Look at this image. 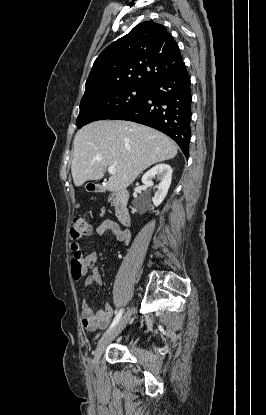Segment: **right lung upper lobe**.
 <instances>
[{
  "instance_id": "1",
  "label": "right lung upper lobe",
  "mask_w": 266,
  "mask_h": 415,
  "mask_svg": "<svg viewBox=\"0 0 266 415\" xmlns=\"http://www.w3.org/2000/svg\"><path fill=\"white\" fill-rule=\"evenodd\" d=\"M184 66L180 49L167 29L144 21L98 56L83 98L122 86L148 88Z\"/></svg>"
}]
</instances>
